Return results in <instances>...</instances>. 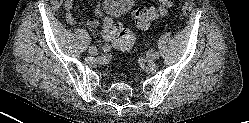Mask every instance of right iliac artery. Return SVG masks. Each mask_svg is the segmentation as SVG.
I'll list each match as a JSON object with an SVG mask.
<instances>
[{
  "instance_id": "obj_1",
  "label": "right iliac artery",
  "mask_w": 249,
  "mask_h": 123,
  "mask_svg": "<svg viewBox=\"0 0 249 123\" xmlns=\"http://www.w3.org/2000/svg\"><path fill=\"white\" fill-rule=\"evenodd\" d=\"M102 50H103L104 52H108V51H110V46L105 45V46H103Z\"/></svg>"
}]
</instances>
